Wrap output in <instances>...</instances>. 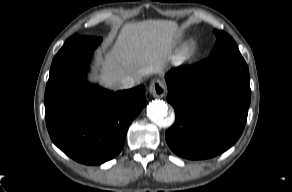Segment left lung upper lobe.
Instances as JSON below:
<instances>
[{
    "label": "left lung upper lobe",
    "instance_id": "obj_1",
    "mask_svg": "<svg viewBox=\"0 0 292 192\" xmlns=\"http://www.w3.org/2000/svg\"><path fill=\"white\" fill-rule=\"evenodd\" d=\"M214 33L217 37V41L209 58H212L221 54L241 55L236 43L234 42L231 36H229L227 33H224L218 30H214Z\"/></svg>",
    "mask_w": 292,
    "mask_h": 192
}]
</instances>
